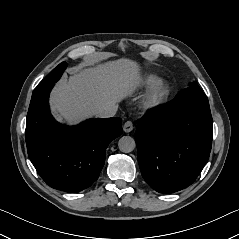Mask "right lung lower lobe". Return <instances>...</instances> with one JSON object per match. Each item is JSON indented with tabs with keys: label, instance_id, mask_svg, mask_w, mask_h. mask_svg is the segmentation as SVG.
<instances>
[{
	"label": "right lung lower lobe",
	"instance_id": "98d812e1",
	"mask_svg": "<svg viewBox=\"0 0 239 239\" xmlns=\"http://www.w3.org/2000/svg\"><path fill=\"white\" fill-rule=\"evenodd\" d=\"M54 83L32 94L27 120L28 156L50 187L79 192L95 182L109 143L121 135V119H89L75 127L56 122L48 98Z\"/></svg>",
	"mask_w": 239,
	"mask_h": 239
}]
</instances>
